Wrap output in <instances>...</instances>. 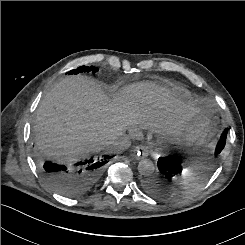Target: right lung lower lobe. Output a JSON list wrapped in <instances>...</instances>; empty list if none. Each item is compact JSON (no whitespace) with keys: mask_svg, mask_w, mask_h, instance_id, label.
Returning a JSON list of instances; mask_svg holds the SVG:
<instances>
[{"mask_svg":"<svg viewBox=\"0 0 245 245\" xmlns=\"http://www.w3.org/2000/svg\"><path fill=\"white\" fill-rule=\"evenodd\" d=\"M111 157L90 159L78 162L73 166L42 162L38 159V167L46 182L63 196L74 198L85 194L95 184L104 165Z\"/></svg>","mask_w":245,"mask_h":245,"instance_id":"1","label":"right lung lower lobe"}]
</instances>
